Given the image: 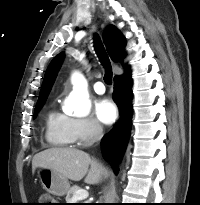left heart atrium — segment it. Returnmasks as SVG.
<instances>
[{
	"mask_svg": "<svg viewBox=\"0 0 200 205\" xmlns=\"http://www.w3.org/2000/svg\"><path fill=\"white\" fill-rule=\"evenodd\" d=\"M96 116L102 123L112 124L118 116L117 107L112 100L102 99L96 105Z\"/></svg>",
	"mask_w": 200,
	"mask_h": 205,
	"instance_id": "1",
	"label": "left heart atrium"
}]
</instances>
